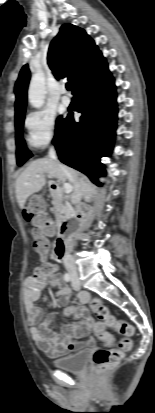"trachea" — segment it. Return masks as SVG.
<instances>
[{
	"label": "trachea",
	"mask_w": 155,
	"mask_h": 413,
	"mask_svg": "<svg viewBox=\"0 0 155 413\" xmlns=\"http://www.w3.org/2000/svg\"><path fill=\"white\" fill-rule=\"evenodd\" d=\"M66 88H67V90H71V89H72V85H71L70 83H67V84H66Z\"/></svg>",
	"instance_id": "3493384b"
}]
</instances>
